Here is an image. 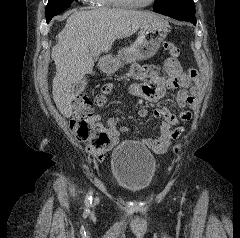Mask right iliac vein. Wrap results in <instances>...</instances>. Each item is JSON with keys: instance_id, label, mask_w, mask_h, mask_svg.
Segmentation results:
<instances>
[{"instance_id": "right-iliac-vein-1", "label": "right iliac vein", "mask_w": 240, "mask_h": 238, "mask_svg": "<svg viewBox=\"0 0 240 238\" xmlns=\"http://www.w3.org/2000/svg\"><path fill=\"white\" fill-rule=\"evenodd\" d=\"M99 202V199H95L93 206H95Z\"/></svg>"}]
</instances>
